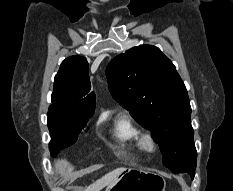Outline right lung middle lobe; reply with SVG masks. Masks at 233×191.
Instances as JSON below:
<instances>
[{"label": "right lung middle lobe", "instance_id": "1", "mask_svg": "<svg viewBox=\"0 0 233 191\" xmlns=\"http://www.w3.org/2000/svg\"><path fill=\"white\" fill-rule=\"evenodd\" d=\"M94 112L74 113L59 108H49L48 127L51 135L49 148L52 156L77 141L78 135L90 122Z\"/></svg>", "mask_w": 233, "mask_h": 191}]
</instances>
